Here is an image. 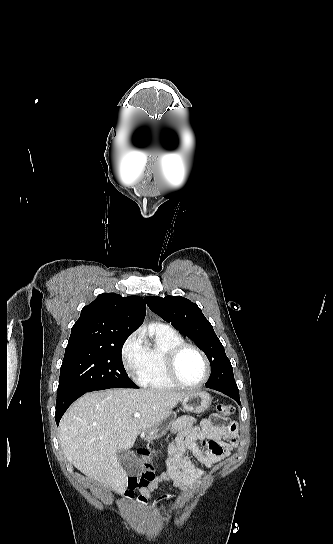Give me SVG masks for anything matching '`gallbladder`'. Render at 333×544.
Instances as JSON below:
<instances>
[{"instance_id":"1","label":"gallbladder","mask_w":333,"mask_h":544,"mask_svg":"<svg viewBox=\"0 0 333 544\" xmlns=\"http://www.w3.org/2000/svg\"><path fill=\"white\" fill-rule=\"evenodd\" d=\"M117 458L128 475L138 476L143 472V466L133 451L118 450Z\"/></svg>"}]
</instances>
